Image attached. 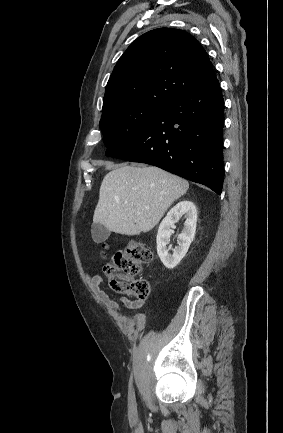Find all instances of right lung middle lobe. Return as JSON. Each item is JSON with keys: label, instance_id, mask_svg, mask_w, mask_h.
<instances>
[{"label": "right lung middle lobe", "instance_id": "obj_1", "mask_svg": "<svg viewBox=\"0 0 283 433\" xmlns=\"http://www.w3.org/2000/svg\"><path fill=\"white\" fill-rule=\"evenodd\" d=\"M162 108L153 104H125L103 111L99 125L106 156L124 150Z\"/></svg>", "mask_w": 283, "mask_h": 433}]
</instances>
